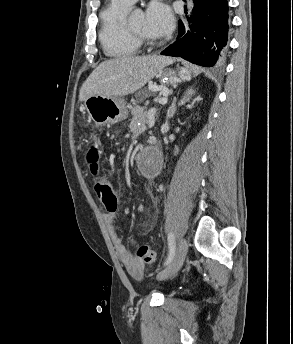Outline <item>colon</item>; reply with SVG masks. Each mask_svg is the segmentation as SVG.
<instances>
[{"instance_id": "5ec220e1", "label": "colon", "mask_w": 293, "mask_h": 344, "mask_svg": "<svg viewBox=\"0 0 293 344\" xmlns=\"http://www.w3.org/2000/svg\"><path fill=\"white\" fill-rule=\"evenodd\" d=\"M95 191L108 211H115L117 209L118 196L110 180L106 178L97 179L95 182ZM136 256L142 263L147 265L154 264L156 259L154 250L148 245L140 246L137 249Z\"/></svg>"}]
</instances>
